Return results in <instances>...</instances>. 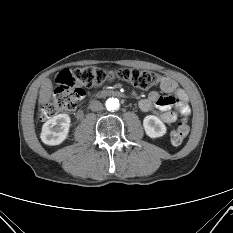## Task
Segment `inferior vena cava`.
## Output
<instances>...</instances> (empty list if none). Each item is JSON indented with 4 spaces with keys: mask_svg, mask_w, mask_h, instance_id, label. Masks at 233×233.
<instances>
[{
    "mask_svg": "<svg viewBox=\"0 0 233 233\" xmlns=\"http://www.w3.org/2000/svg\"><path fill=\"white\" fill-rule=\"evenodd\" d=\"M90 109L92 111H100V110L103 109V105H102V103L100 101L93 100L90 103Z\"/></svg>",
    "mask_w": 233,
    "mask_h": 233,
    "instance_id": "602c4592",
    "label": "inferior vena cava"
}]
</instances>
